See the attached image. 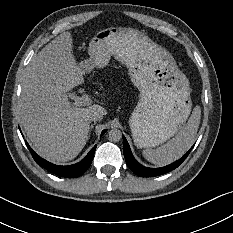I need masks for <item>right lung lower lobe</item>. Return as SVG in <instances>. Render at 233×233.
<instances>
[{"label": "right lung lower lobe", "mask_w": 233, "mask_h": 233, "mask_svg": "<svg viewBox=\"0 0 233 233\" xmlns=\"http://www.w3.org/2000/svg\"><path fill=\"white\" fill-rule=\"evenodd\" d=\"M106 132V130H104L102 132V135ZM27 147L29 148L34 160L36 161L37 164H39L40 166H42L43 168L47 169L48 171L61 176V177H67V178H76L79 177L80 175H82L91 165L92 160H93V156L95 153V149L96 146L93 147L89 153L87 154V156L80 161L77 164L74 165H69V166H58L55 164H52L48 161H46L45 159L41 158L40 156H38L28 145V143L26 142Z\"/></svg>", "instance_id": "98d812e1"}]
</instances>
